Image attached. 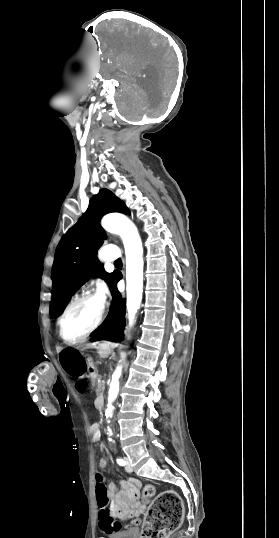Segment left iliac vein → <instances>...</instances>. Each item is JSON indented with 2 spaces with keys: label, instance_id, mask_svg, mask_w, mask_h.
Segmentation results:
<instances>
[{
  "label": "left iliac vein",
  "instance_id": "1",
  "mask_svg": "<svg viewBox=\"0 0 279 538\" xmlns=\"http://www.w3.org/2000/svg\"><path fill=\"white\" fill-rule=\"evenodd\" d=\"M124 460H125V463H126L125 470L127 472H132V467H131L129 459L127 457H125Z\"/></svg>",
  "mask_w": 279,
  "mask_h": 538
}]
</instances>
